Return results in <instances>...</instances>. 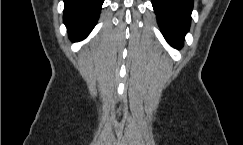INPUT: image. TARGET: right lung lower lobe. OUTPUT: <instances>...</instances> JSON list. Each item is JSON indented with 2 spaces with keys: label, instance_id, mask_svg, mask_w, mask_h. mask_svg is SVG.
I'll list each match as a JSON object with an SVG mask.
<instances>
[{
  "label": "right lung lower lobe",
  "instance_id": "right-lung-lower-lobe-1",
  "mask_svg": "<svg viewBox=\"0 0 243 145\" xmlns=\"http://www.w3.org/2000/svg\"><path fill=\"white\" fill-rule=\"evenodd\" d=\"M103 2L104 0H64L63 21L73 42L86 38L92 31Z\"/></svg>",
  "mask_w": 243,
  "mask_h": 145
}]
</instances>
